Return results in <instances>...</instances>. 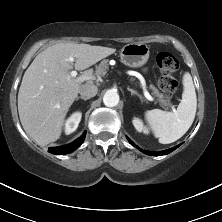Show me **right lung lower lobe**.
<instances>
[{
    "instance_id": "right-lung-lower-lobe-1",
    "label": "right lung lower lobe",
    "mask_w": 222,
    "mask_h": 222,
    "mask_svg": "<svg viewBox=\"0 0 222 222\" xmlns=\"http://www.w3.org/2000/svg\"><path fill=\"white\" fill-rule=\"evenodd\" d=\"M85 135L86 134H83L80 138L76 139L74 142L70 144L59 146V147H50L48 152L55 155H63V154L71 153L82 144V142L85 139Z\"/></svg>"
}]
</instances>
